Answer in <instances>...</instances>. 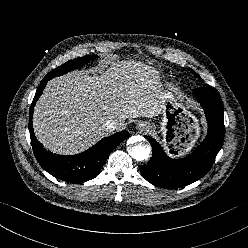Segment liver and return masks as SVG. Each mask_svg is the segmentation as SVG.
<instances>
[{
	"label": "liver",
	"mask_w": 248,
	"mask_h": 248,
	"mask_svg": "<svg viewBox=\"0 0 248 248\" xmlns=\"http://www.w3.org/2000/svg\"><path fill=\"white\" fill-rule=\"evenodd\" d=\"M167 95L140 62H117L93 76L75 71L47 83L34 108V132L46 149L77 154L107 135L108 120L123 129L127 118L158 116Z\"/></svg>",
	"instance_id": "liver-1"
}]
</instances>
